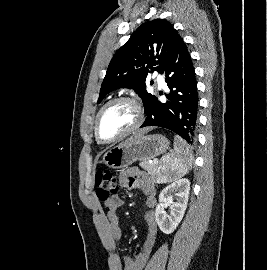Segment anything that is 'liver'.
<instances>
[{
	"mask_svg": "<svg viewBox=\"0 0 267 270\" xmlns=\"http://www.w3.org/2000/svg\"><path fill=\"white\" fill-rule=\"evenodd\" d=\"M152 128H144L139 130L138 132H136L132 137H130L128 140L126 141H133L139 137H141L142 135L146 134L148 131H150Z\"/></svg>",
	"mask_w": 267,
	"mask_h": 270,
	"instance_id": "1",
	"label": "liver"
}]
</instances>
